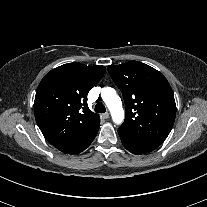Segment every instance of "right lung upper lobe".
Wrapping results in <instances>:
<instances>
[{"label": "right lung upper lobe", "instance_id": "cb5924a9", "mask_svg": "<svg viewBox=\"0 0 207 207\" xmlns=\"http://www.w3.org/2000/svg\"><path fill=\"white\" fill-rule=\"evenodd\" d=\"M104 73V66L74 62L51 70L41 80L34 101L35 119L57 149L72 146L100 126L99 116L88 108L87 95Z\"/></svg>", "mask_w": 207, "mask_h": 207}]
</instances>
